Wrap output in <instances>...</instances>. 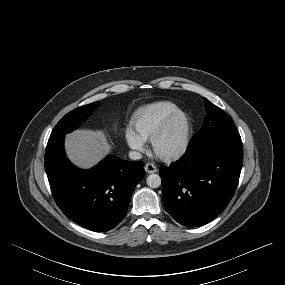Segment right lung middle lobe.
Listing matches in <instances>:
<instances>
[{"label": "right lung middle lobe", "instance_id": "dd1d6c3e", "mask_svg": "<svg viewBox=\"0 0 285 285\" xmlns=\"http://www.w3.org/2000/svg\"><path fill=\"white\" fill-rule=\"evenodd\" d=\"M100 102H94L66 114L55 126L51 133L53 135L66 134L77 128L98 106Z\"/></svg>", "mask_w": 285, "mask_h": 285}]
</instances>
